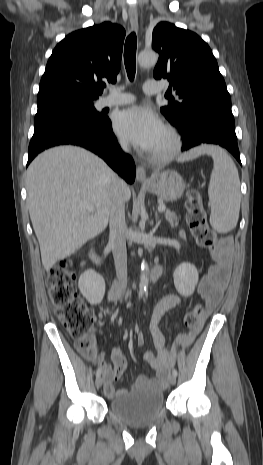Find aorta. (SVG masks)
Instances as JSON below:
<instances>
[{
	"label": "aorta",
	"instance_id": "obj_1",
	"mask_svg": "<svg viewBox=\"0 0 263 465\" xmlns=\"http://www.w3.org/2000/svg\"><path fill=\"white\" fill-rule=\"evenodd\" d=\"M158 61V55L153 51H142L138 55V63L142 67H151L156 65ZM148 286V264L142 262L141 264V276L139 282V293L138 296L141 298L146 292Z\"/></svg>",
	"mask_w": 263,
	"mask_h": 465
}]
</instances>
